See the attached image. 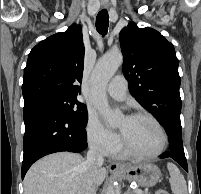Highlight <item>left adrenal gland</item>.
<instances>
[{
  "instance_id": "obj_1",
  "label": "left adrenal gland",
  "mask_w": 201,
  "mask_h": 194,
  "mask_svg": "<svg viewBox=\"0 0 201 194\" xmlns=\"http://www.w3.org/2000/svg\"><path fill=\"white\" fill-rule=\"evenodd\" d=\"M124 194H133V193L131 192L130 188H128Z\"/></svg>"
}]
</instances>
